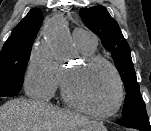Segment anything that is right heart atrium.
Masks as SVG:
<instances>
[{
    "mask_svg": "<svg viewBox=\"0 0 151 131\" xmlns=\"http://www.w3.org/2000/svg\"><path fill=\"white\" fill-rule=\"evenodd\" d=\"M61 75L60 65L49 52L34 49L25 72V90L33 98L48 99L56 92L61 82Z\"/></svg>",
    "mask_w": 151,
    "mask_h": 131,
    "instance_id": "obj_1",
    "label": "right heart atrium"
}]
</instances>
